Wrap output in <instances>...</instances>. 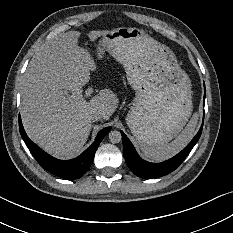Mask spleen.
<instances>
[{
  "instance_id": "obj_1",
  "label": "spleen",
  "mask_w": 233,
  "mask_h": 233,
  "mask_svg": "<svg viewBox=\"0 0 233 233\" xmlns=\"http://www.w3.org/2000/svg\"><path fill=\"white\" fill-rule=\"evenodd\" d=\"M198 113H194L186 128L172 142L159 147H142L141 150L146 158L160 162L171 158L182 150L191 140L198 122Z\"/></svg>"
}]
</instances>
